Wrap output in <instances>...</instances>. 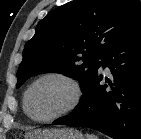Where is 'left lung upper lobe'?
Instances as JSON below:
<instances>
[{"label": "left lung upper lobe", "mask_w": 141, "mask_h": 139, "mask_svg": "<svg viewBox=\"0 0 141 139\" xmlns=\"http://www.w3.org/2000/svg\"><path fill=\"white\" fill-rule=\"evenodd\" d=\"M141 26L139 0H75L51 11L23 50L17 88L31 76H74L84 91L108 50Z\"/></svg>", "instance_id": "obj_1"}]
</instances>
